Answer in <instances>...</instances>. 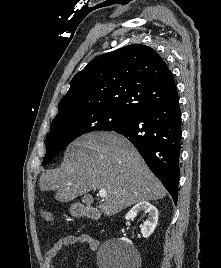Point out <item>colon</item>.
Wrapping results in <instances>:
<instances>
[{
	"label": "colon",
	"mask_w": 221,
	"mask_h": 268,
	"mask_svg": "<svg viewBox=\"0 0 221 268\" xmlns=\"http://www.w3.org/2000/svg\"><path fill=\"white\" fill-rule=\"evenodd\" d=\"M40 215L44 219V221H46L47 223L51 225L54 223V216L51 211L47 209H43L40 211Z\"/></svg>",
	"instance_id": "1"
}]
</instances>
